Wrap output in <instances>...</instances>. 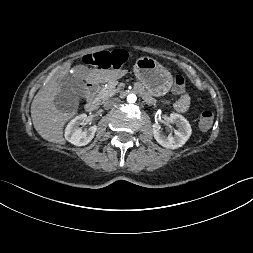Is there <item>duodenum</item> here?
Returning a JSON list of instances; mask_svg holds the SVG:
<instances>
[{"instance_id":"obj_1","label":"duodenum","mask_w":253,"mask_h":253,"mask_svg":"<svg viewBox=\"0 0 253 253\" xmlns=\"http://www.w3.org/2000/svg\"><path fill=\"white\" fill-rule=\"evenodd\" d=\"M97 94H98V85L89 84L87 87L88 100L85 104V110L87 112H93L97 109L98 107Z\"/></svg>"}]
</instances>
